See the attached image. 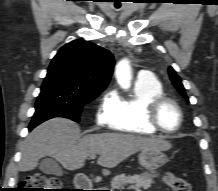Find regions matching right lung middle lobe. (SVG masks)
<instances>
[{"instance_id": "dd1d6c3e", "label": "right lung middle lobe", "mask_w": 218, "mask_h": 191, "mask_svg": "<svg viewBox=\"0 0 218 191\" xmlns=\"http://www.w3.org/2000/svg\"><path fill=\"white\" fill-rule=\"evenodd\" d=\"M101 92L86 88L59 71L48 70L30 125L36 127L53 117H65L78 122L83 106Z\"/></svg>"}]
</instances>
